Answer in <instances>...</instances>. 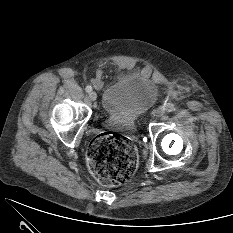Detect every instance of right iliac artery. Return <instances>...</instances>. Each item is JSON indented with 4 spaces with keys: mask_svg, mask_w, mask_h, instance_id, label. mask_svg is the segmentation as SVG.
<instances>
[{
    "mask_svg": "<svg viewBox=\"0 0 233 233\" xmlns=\"http://www.w3.org/2000/svg\"><path fill=\"white\" fill-rule=\"evenodd\" d=\"M85 90H86V92H88V93H89V92H91V91H92V87L88 85V86H86Z\"/></svg>",
    "mask_w": 233,
    "mask_h": 233,
    "instance_id": "right-iliac-artery-1",
    "label": "right iliac artery"
}]
</instances>
